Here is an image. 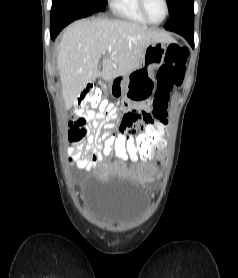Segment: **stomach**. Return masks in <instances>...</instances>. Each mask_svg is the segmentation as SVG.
Wrapping results in <instances>:
<instances>
[{
	"mask_svg": "<svg viewBox=\"0 0 238 278\" xmlns=\"http://www.w3.org/2000/svg\"><path fill=\"white\" fill-rule=\"evenodd\" d=\"M167 46L155 42L145 50L141 65L130 74H117L109 84L114 99L149 100L155 92L154 70L163 62Z\"/></svg>",
	"mask_w": 238,
	"mask_h": 278,
	"instance_id": "1",
	"label": "stomach"
}]
</instances>
